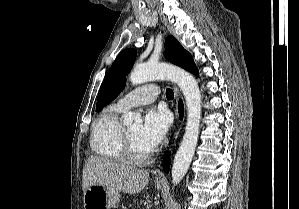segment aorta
<instances>
[{"label":"aorta","mask_w":299,"mask_h":209,"mask_svg":"<svg viewBox=\"0 0 299 209\" xmlns=\"http://www.w3.org/2000/svg\"><path fill=\"white\" fill-rule=\"evenodd\" d=\"M170 80L179 85L187 106V125L186 130L176 152L171 177L173 185L181 182L185 176L191 161L199 137V125L201 120V92L196 79L189 72L167 64L145 63L137 64L130 73L132 85H140L153 80ZM124 124L128 126L141 124V116L135 112L124 115Z\"/></svg>","instance_id":"762f6f07"}]
</instances>
